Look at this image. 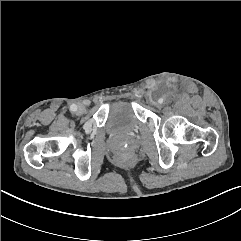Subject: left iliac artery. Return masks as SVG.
<instances>
[{
  "label": "left iliac artery",
  "instance_id": "44dca946",
  "mask_svg": "<svg viewBox=\"0 0 241 241\" xmlns=\"http://www.w3.org/2000/svg\"><path fill=\"white\" fill-rule=\"evenodd\" d=\"M158 102L162 104V103H163V99L160 98V99L158 100Z\"/></svg>",
  "mask_w": 241,
  "mask_h": 241
}]
</instances>
